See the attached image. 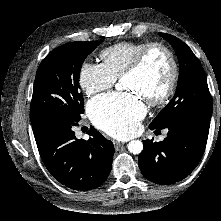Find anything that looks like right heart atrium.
I'll return each instance as SVG.
<instances>
[{
    "label": "right heart atrium",
    "mask_w": 221,
    "mask_h": 221,
    "mask_svg": "<svg viewBox=\"0 0 221 221\" xmlns=\"http://www.w3.org/2000/svg\"><path fill=\"white\" fill-rule=\"evenodd\" d=\"M116 78L101 63L85 62L80 71V85L88 96L110 89Z\"/></svg>",
    "instance_id": "1"
}]
</instances>
